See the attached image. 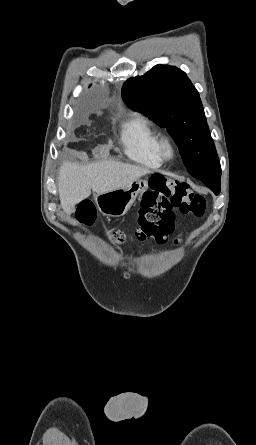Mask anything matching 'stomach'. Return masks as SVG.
Masks as SVG:
<instances>
[{"instance_id": "obj_1", "label": "stomach", "mask_w": 256, "mask_h": 445, "mask_svg": "<svg viewBox=\"0 0 256 445\" xmlns=\"http://www.w3.org/2000/svg\"><path fill=\"white\" fill-rule=\"evenodd\" d=\"M149 187V178L137 179L128 186L95 197L99 211L108 217L125 215L133 205L136 198L142 195Z\"/></svg>"}]
</instances>
